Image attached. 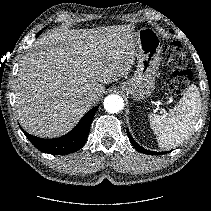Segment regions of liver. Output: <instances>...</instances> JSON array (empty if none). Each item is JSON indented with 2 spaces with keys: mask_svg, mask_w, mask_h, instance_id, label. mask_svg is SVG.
Returning a JSON list of instances; mask_svg holds the SVG:
<instances>
[{
  "mask_svg": "<svg viewBox=\"0 0 211 211\" xmlns=\"http://www.w3.org/2000/svg\"><path fill=\"white\" fill-rule=\"evenodd\" d=\"M135 37L133 27L123 25L43 34L23 56L15 80L23 129L42 138L68 133L94 104L85 95L99 99L104 84L131 70Z\"/></svg>",
  "mask_w": 211,
  "mask_h": 211,
  "instance_id": "obj_1",
  "label": "liver"
}]
</instances>
